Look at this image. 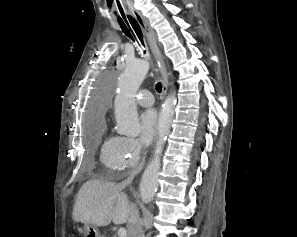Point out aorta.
I'll list each match as a JSON object with an SVG mask.
<instances>
[{"mask_svg":"<svg viewBox=\"0 0 297 237\" xmlns=\"http://www.w3.org/2000/svg\"><path fill=\"white\" fill-rule=\"evenodd\" d=\"M149 71V63L143 59H133L127 62L125 70L119 76L120 89L114 102L117 132L126 136H138L141 125L138 118L135 95ZM176 106V96L173 92L166 98L158 119V141L154 156L145 169L140 182V196L143 203L152 202L158 189L160 157L168 135Z\"/></svg>","mask_w":297,"mask_h":237,"instance_id":"762f6f07","label":"aorta"}]
</instances>
